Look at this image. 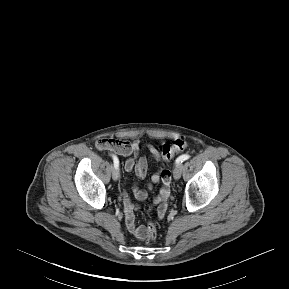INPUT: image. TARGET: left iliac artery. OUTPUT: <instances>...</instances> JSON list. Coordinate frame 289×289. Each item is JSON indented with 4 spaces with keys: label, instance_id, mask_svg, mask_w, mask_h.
<instances>
[{
    "label": "left iliac artery",
    "instance_id": "44dca946",
    "mask_svg": "<svg viewBox=\"0 0 289 289\" xmlns=\"http://www.w3.org/2000/svg\"><path fill=\"white\" fill-rule=\"evenodd\" d=\"M189 158H190V155H188V154H183V155L179 156V157L176 159V164H180V163H182L183 161L188 160Z\"/></svg>",
    "mask_w": 289,
    "mask_h": 289
}]
</instances>
